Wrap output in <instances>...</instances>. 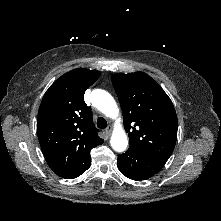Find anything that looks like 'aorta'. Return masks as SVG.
I'll return each instance as SVG.
<instances>
[{
  "label": "aorta",
  "instance_id": "obj_1",
  "mask_svg": "<svg viewBox=\"0 0 221 221\" xmlns=\"http://www.w3.org/2000/svg\"><path fill=\"white\" fill-rule=\"evenodd\" d=\"M93 105L107 117L116 118L119 114L118 106L114 98L105 90L96 89L92 92ZM111 147L117 152L126 150L128 140L125 131L120 125L114 129L111 139Z\"/></svg>",
  "mask_w": 221,
  "mask_h": 221
}]
</instances>
